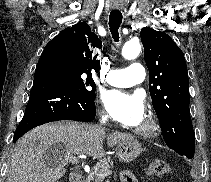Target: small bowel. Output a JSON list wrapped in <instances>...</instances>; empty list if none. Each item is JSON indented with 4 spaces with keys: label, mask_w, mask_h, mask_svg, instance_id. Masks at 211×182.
I'll return each mask as SVG.
<instances>
[{
    "label": "small bowel",
    "mask_w": 211,
    "mask_h": 182,
    "mask_svg": "<svg viewBox=\"0 0 211 182\" xmlns=\"http://www.w3.org/2000/svg\"><path fill=\"white\" fill-rule=\"evenodd\" d=\"M120 178L121 182H137L135 176L129 171H123Z\"/></svg>",
    "instance_id": "small-bowel-1"
}]
</instances>
